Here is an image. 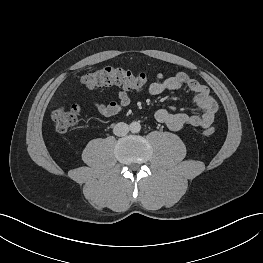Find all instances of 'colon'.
Masks as SVG:
<instances>
[{
  "label": "colon",
  "mask_w": 263,
  "mask_h": 263,
  "mask_svg": "<svg viewBox=\"0 0 263 263\" xmlns=\"http://www.w3.org/2000/svg\"><path fill=\"white\" fill-rule=\"evenodd\" d=\"M147 76L143 73L136 74L131 70L117 66L104 65L98 69L86 73L81 78V83L88 89L99 86L119 85L126 89L139 90L147 84ZM79 107L76 104L62 105L52 113V120L58 132H66L72 128L78 120ZM214 128H208L204 134L212 136Z\"/></svg>",
  "instance_id": "obj_1"
}]
</instances>
